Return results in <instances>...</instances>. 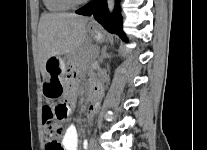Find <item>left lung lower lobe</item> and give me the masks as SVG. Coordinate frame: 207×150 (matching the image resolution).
<instances>
[{"instance_id": "0a47b994", "label": "left lung lower lobe", "mask_w": 207, "mask_h": 150, "mask_svg": "<svg viewBox=\"0 0 207 150\" xmlns=\"http://www.w3.org/2000/svg\"><path fill=\"white\" fill-rule=\"evenodd\" d=\"M118 2V1H117ZM77 14L94 18L109 32L119 35L126 41L125 34L122 30V17L120 11L115 7L113 14H109L107 0H94L76 11Z\"/></svg>"}]
</instances>
